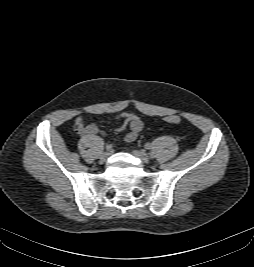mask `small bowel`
Returning <instances> with one entry per match:
<instances>
[{
  "instance_id": "obj_1",
  "label": "small bowel",
  "mask_w": 254,
  "mask_h": 267,
  "mask_svg": "<svg viewBox=\"0 0 254 267\" xmlns=\"http://www.w3.org/2000/svg\"><path fill=\"white\" fill-rule=\"evenodd\" d=\"M122 120V124L119 126V130H123L126 126L129 127V131L126 133L124 139L126 142H133L137 139L138 135L143 129L142 120L135 114L123 112L119 115ZM74 129L80 135L96 136L104 135L105 133L99 129L95 124H84V115L79 114L74 119Z\"/></svg>"
}]
</instances>
